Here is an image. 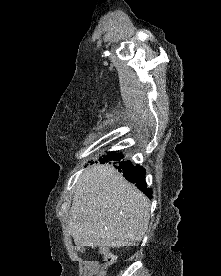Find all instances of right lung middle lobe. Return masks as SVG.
Instances as JSON below:
<instances>
[{"instance_id": "right-lung-middle-lobe-1", "label": "right lung middle lobe", "mask_w": 221, "mask_h": 276, "mask_svg": "<svg viewBox=\"0 0 221 276\" xmlns=\"http://www.w3.org/2000/svg\"><path fill=\"white\" fill-rule=\"evenodd\" d=\"M121 159H123L122 153H116L115 151H113V152H107L106 155H102L99 161L101 163H105L109 161H120Z\"/></svg>"}]
</instances>
